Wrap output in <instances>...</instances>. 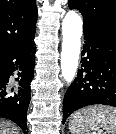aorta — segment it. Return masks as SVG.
I'll list each match as a JSON object with an SVG mask.
<instances>
[{
    "mask_svg": "<svg viewBox=\"0 0 116 134\" xmlns=\"http://www.w3.org/2000/svg\"><path fill=\"white\" fill-rule=\"evenodd\" d=\"M82 27V18L75 11H69L62 21L61 71L68 84L74 80L77 73Z\"/></svg>",
    "mask_w": 116,
    "mask_h": 134,
    "instance_id": "1",
    "label": "aorta"
}]
</instances>
